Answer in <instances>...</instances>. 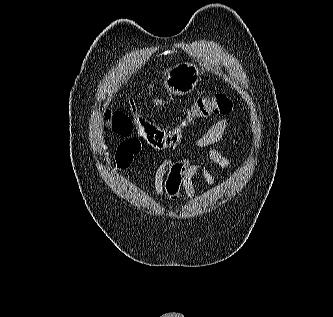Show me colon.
I'll return each mask as SVG.
<instances>
[{
	"label": "colon",
	"mask_w": 333,
	"mask_h": 317,
	"mask_svg": "<svg viewBox=\"0 0 333 317\" xmlns=\"http://www.w3.org/2000/svg\"><path fill=\"white\" fill-rule=\"evenodd\" d=\"M233 108L231 98L223 93L213 96L196 98L188 108L184 120L174 128L163 129L145 117L136 104L130 105L132 116L120 111H106L105 119L111 129L121 135L132 133L134 125L140 131L142 138L158 151H171L178 148L182 142L183 131L186 126L199 119H209L219 115H228Z\"/></svg>",
	"instance_id": "colon-1"
}]
</instances>
